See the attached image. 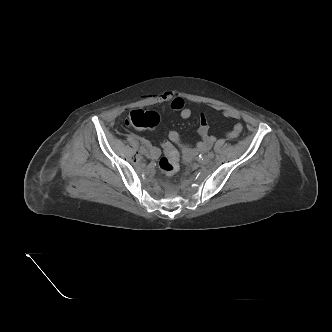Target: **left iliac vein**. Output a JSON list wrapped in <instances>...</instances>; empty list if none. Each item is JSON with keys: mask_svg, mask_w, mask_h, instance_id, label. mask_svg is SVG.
Wrapping results in <instances>:
<instances>
[{"mask_svg": "<svg viewBox=\"0 0 332 332\" xmlns=\"http://www.w3.org/2000/svg\"><path fill=\"white\" fill-rule=\"evenodd\" d=\"M211 158L207 155L203 156L201 159L202 164H208L210 162Z\"/></svg>", "mask_w": 332, "mask_h": 332, "instance_id": "4c4485c4", "label": "left iliac vein"}]
</instances>
